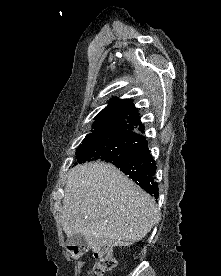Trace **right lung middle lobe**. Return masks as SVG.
Wrapping results in <instances>:
<instances>
[{
    "label": "right lung middle lobe",
    "mask_w": 221,
    "mask_h": 276,
    "mask_svg": "<svg viewBox=\"0 0 221 276\" xmlns=\"http://www.w3.org/2000/svg\"><path fill=\"white\" fill-rule=\"evenodd\" d=\"M144 143L145 138L121 133L85 138L76 151V164L94 160L113 162L127 157Z\"/></svg>",
    "instance_id": "dd1d6c3e"
}]
</instances>
